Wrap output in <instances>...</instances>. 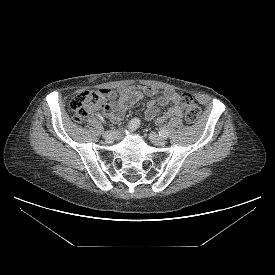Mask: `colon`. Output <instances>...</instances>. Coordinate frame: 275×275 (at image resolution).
<instances>
[{
	"instance_id": "colon-1",
	"label": "colon",
	"mask_w": 275,
	"mask_h": 275,
	"mask_svg": "<svg viewBox=\"0 0 275 275\" xmlns=\"http://www.w3.org/2000/svg\"><path fill=\"white\" fill-rule=\"evenodd\" d=\"M181 101L185 107L186 121L191 124L196 123L200 116L201 109L194 98L188 93H183ZM106 106L105 96L98 91L80 92L70 101V108L74 113V120L77 123L83 122L93 110H103Z\"/></svg>"
}]
</instances>
